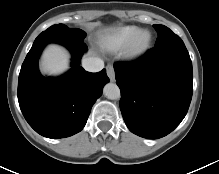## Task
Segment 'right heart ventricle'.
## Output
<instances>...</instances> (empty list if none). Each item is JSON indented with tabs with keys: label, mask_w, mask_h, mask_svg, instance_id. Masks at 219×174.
Masks as SVG:
<instances>
[{
	"label": "right heart ventricle",
	"mask_w": 219,
	"mask_h": 174,
	"mask_svg": "<svg viewBox=\"0 0 219 174\" xmlns=\"http://www.w3.org/2000/svg\"><path fill=\"white\" fill-rule=\"evenodd\" d=\"M137 31L138 27L133 25L114 27L100 37L99 46L105 51H118L127 45Z\"/></svg>",
	"instance_id": "e07e8e85"
}]
</instances>
